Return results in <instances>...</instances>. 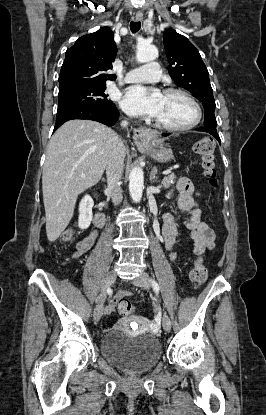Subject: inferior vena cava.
<instances>
[{
  "instance_id": "1",
  "label": "inferior vena cava",
  "mask_w": 266,
  "mask_h": 415,
  "mask_svg": "<svg viewBox=\"0 0 266 415\" xmlns=\"http://www.w3.org/2000/svg\"><path fill=\"white\" fill-rule=\"evenodd\" d=\"M127 125V121L121 122L122 127H126ZM124 158L125 147L121 139L115 135L113 138V148L106 165L107 186L108 190L110 191L112 201L115 205L119 204L122 201L120 179L123 173Z\"/></svg>"
}]
</instances>
